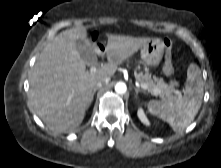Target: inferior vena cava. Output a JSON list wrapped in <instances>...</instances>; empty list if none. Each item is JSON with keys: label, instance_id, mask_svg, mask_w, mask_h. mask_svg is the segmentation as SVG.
<instances>
[{"label": "inferior vena cava", "instance_id": "obj_1", "mask_svg": "<svg viewBox=\"0 0 221 168\" xmlns=\"http://www.w3.org/2000/svg\"><path fill=\"white\" fill-rule=\"evenodd\" d=\"M109 81H110L109 77L101 78L96 82V87L101 88L102 86L107 85Z\"/></svg>", "mask_w": 221, "mask_h": 168}]
</instances>
